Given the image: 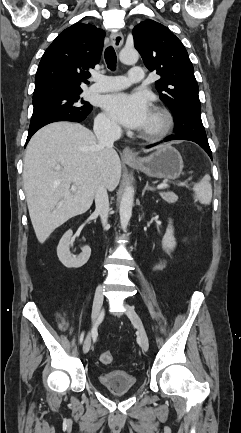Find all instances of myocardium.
Masks as SVG:
<instances>
[{
    "mask_svg": "<svg viewBox=\"0 0 241 433\" xmlns=\"http://www.w3.org/2000/svg\"><path fill=\"white\" fill-rule=\"evenodd\" d=\"M152 114L157 121V125L145 128L141 134L148 140L156 141L164 138L170 132L173 126V118L171 113L161 106H155Z\"/></svg>",
    "mask_w": 241,
    "mask_h": 433,
    "instance_id": "f54148a6",
    "label": "myocardium"
}]
</instances>
